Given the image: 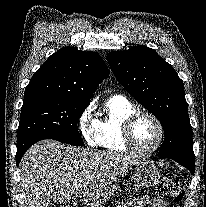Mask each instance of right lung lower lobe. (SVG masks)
Instances as JSON below:
<instances>
[{
	"mask_svg": "<svg viewBox=\"0 0 206 207\" xmlns=\"http://www.w3.org/2000/svg\"><path fill=\"white\" fill-rule=\"evenodd\" d=\"M26 150L17 151V154H16V163H17V165H19V162H20L22 156L24 155V153L26 152Z\"/></svg>",
	"mask_w": 206,
	"mask_h": 207,
	"instance_id": "obj_1",
	"label": "right lung lower lobe"
}]
</instances>
